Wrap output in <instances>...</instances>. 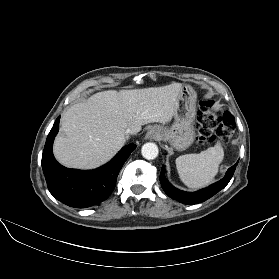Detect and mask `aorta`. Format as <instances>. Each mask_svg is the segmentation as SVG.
<instances>
[{
	"label": "aorta",
	"mask_w": 279,
	"mask_h": 279,
	"mask_svg": "<svg viewBox=\"0 0 279 279\" xmlns=\"http://www.w3.org/2000/svg\"><path fill=\"white\" fill-rule=\"evenodd\" d=\"M141 153L145 159L153 160L158 156V146L152 142L146 143L142 146Z\"/></svg>",
	"instance_id": "aorta-1"
}]
</instances>
